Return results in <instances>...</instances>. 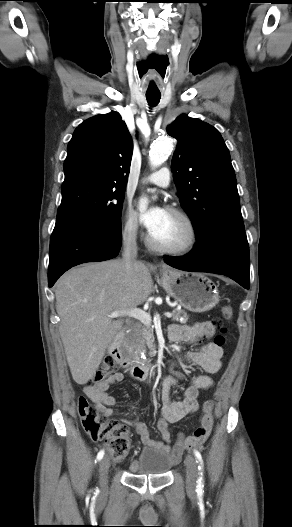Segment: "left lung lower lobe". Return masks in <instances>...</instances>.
I'll use <instances>...</instances> for the list:
<instances>
[{
  "mask_svg": "<svg viewBox=\"0 0 292 527\" xmlns=\"http://www.w3.org/2000/svg\"><path fill=\"white\" fill-rule=\"evenodd\" d=\"M164 262L185 271L222 274L246 289L250 287L249 246L245 231H222L197 240L182 257L164 256Z\"/></svg>",
  "mask_w": 292,
  "mask_h": 527,
  "instance_id": "0a47b994",
  "label": "left lung lower lobe"
}]
</instances>
